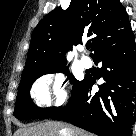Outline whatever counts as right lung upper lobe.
Masks as SVG:
<instances>
[{
    "instance_id": "right-lung-upper-lobe-1",
    "label": "right lung upper lobe",
    "mask_w": 136,
    "mask_h": 136,
    "mask_svg": "<svg viewBox=\"0 0 136 136\" xmlns=\"http://www.w3.org/2000/svg\"><path fill=\"white\" fill-rule=\"evenodd\" d=\"M130 25L119 0H71L67 10L57 7L34 29L21 79L66 64L67 51L87 37L94 57L132 35Z\"/></svg>"
}]
</instances>
